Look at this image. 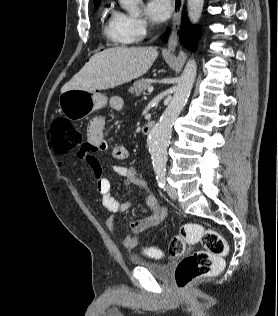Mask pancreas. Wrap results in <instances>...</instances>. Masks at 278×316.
Segmentation results:
<instances>
[{
	"label": "pancreas",
	"mask_w": 278,
	"mask_h": 316,
	"mask_svg": "<svg viewBox=\"0 0 278 316\" xmlns=\"http://www.w3.org/2000/svg\"><path fill=\"white\" fill-rule=\"evenodd\" d=\"M151 85V80L147 78H142L133 83V86L130 87L129 92L135 96H140L145 93V91Z\"/></svg>",
	"instance_id": "obj_1"
}]
</instances>
